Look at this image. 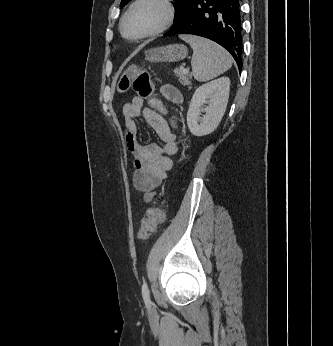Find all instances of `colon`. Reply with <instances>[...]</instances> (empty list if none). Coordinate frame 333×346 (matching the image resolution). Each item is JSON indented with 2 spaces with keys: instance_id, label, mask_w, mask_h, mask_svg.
<instances>
[{
  "instance_id": "obj_1",
  "label": "colon",
  "mask_w": 333,
  "mask_h": 346,
  "mask_svg": "<svg viewBox=\"0 0 333 346\" xmlns=\"http://www.w3.org/2000/svg\"><path fill=\"white\" fill-rule=\"evenodd\" d=\"M118 88L121 92L132 89L139 97L154 101V85L150 73L146 69L128 67L120 79ZM163 220L164 213L160 207L149 208L138 229V237L147 239Z\"/></svg>"
}]
</instances>
